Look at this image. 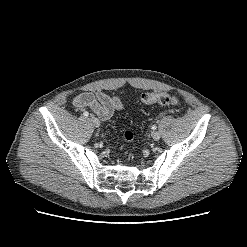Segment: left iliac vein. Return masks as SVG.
<instances>
[{
  "mask_svg": "<svg viewBox=\"0 0 247 247\" xmlns=\"http://www.w3.org/2000/svg\"><path fill=\"white\" fill-rule=\"evenodd\" d=\"M160 137H161L160 132H158V131H153V132H152V138H153L155 141L159 140Z\"/></svg>",
  "mask_w": 247,
  "mask_h": 247,
  "instance_id": "obj_1",
  "label": "left iliac vein"
}]
</instances>
